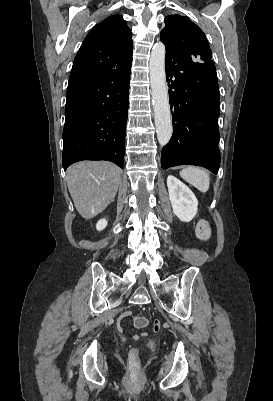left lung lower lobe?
I'll list each match as a JSON object with an SVG mask.
<instances>
[{
  "mask_svg": "<svg viewBox=\"0 0 273 401\" xmlns=\"http://www.w3.org/2000/svg\"><path fill=\"white\" fill-rule=\"evenodd\" d=\"M165 68L173 135L161 152V166L198 165L217 174L220 92L215 64L166 52Z\"/></svg>",
  "mask_w": 273,
  "mask_h": 401,
  "instance_id": "left-lung-lower-lobe-1",
  "label": "left lung lower lobe"
}]
</instances>
